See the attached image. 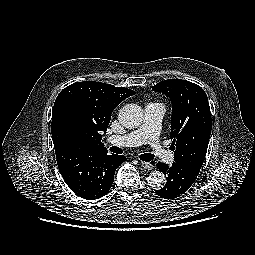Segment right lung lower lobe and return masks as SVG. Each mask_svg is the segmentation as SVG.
I'll use <instances>...</instances> for the list:
<instances>
[{"label": "right lung lower lobe", "mask_w": 255, "mask_h": 255, "mask_svg": "<svg viewBox=\"0 0 255 255\" xmlns=\"http://www.w3.org/2000/svg\"><path fill=\"white\" fill-rule=\"evenodd\" d=\"M58 168L68 187L78 196L93 200L110 190L123 155L96 151H64L56 154Z\"/></svg>", "instance_id": "1"}]
</instances>
